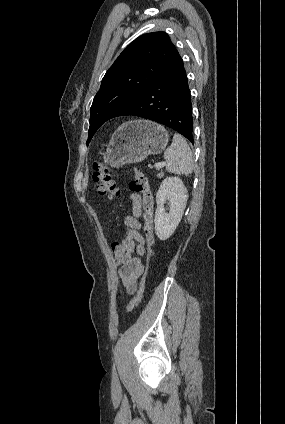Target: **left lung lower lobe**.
Here are the masks:
<instances>
[{
    "label": "left lung lower lobe",
    "mask_w": 285,
    "mask_h": 424,
    "mask_svg": "<svg viewBox=\"0 0 285 424\" xmlns=\"http://www.w3.org/2000/svg\"><path fill=\"white\" fill-rule=\"evenodd\" d=\"M129 115L166 125L193 142L190 89L176 49L159 76L114 117Z\"/></svg>",
    "instance_id": "obj_1"
}]
</instances>
